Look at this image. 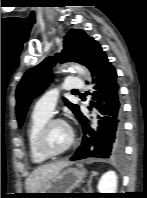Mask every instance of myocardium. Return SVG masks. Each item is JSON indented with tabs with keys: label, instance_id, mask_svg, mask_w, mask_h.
<instances>
[{
	"label": "myocardium",
	"instance_id": "1",
	"mask_svg": "<svg viewBox=\"0 0 147 198\" xmlns=\"http://www.w3.org/2000/svg\"><path fill=\"white\" fill-rule=\"evenodd\" d=\"M56 123H62L64 125H66V127L69 130L68 142L60 150H52L48 145L49 129L53 124H56ZM74 140H75L74 131L63 119L50 118L42 125L41 129L39 130V133H38V136H37V147H38V150L44 156H46L48 158H53V157L60 156V155L64 154L66 151H68L71 148V146L73 145Z\"/></svg>",
	"mask_w": 147,
	"mask_h": 198
}]
</instances>
